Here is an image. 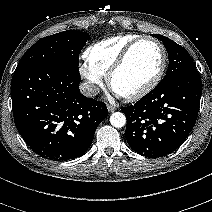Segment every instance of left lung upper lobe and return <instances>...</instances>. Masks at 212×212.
Listing matches in <instances>:
<instances>
[{
    "mask_svg": "<svg viewBox=\"0 0 212 212\" xmlns=\"http://www.w3.org/2000/svg\"><path fill=\"white\" fill-rule=\"evenodd\" d=\"M152 36L163 42L169 56L167 73L158 86L167 84L168 82L186 73L196 71V67L185 48L165 36L158 34H152Z\"/></svg>",
    "mask_w": 212,
    "mask_h": 212,
    "instance_id": "left-lung-upper-lobe-1",
    "label": "left lung upper lobe"
}]
</instances>
